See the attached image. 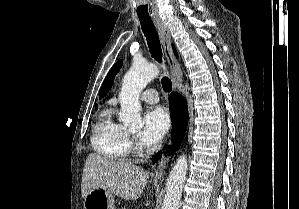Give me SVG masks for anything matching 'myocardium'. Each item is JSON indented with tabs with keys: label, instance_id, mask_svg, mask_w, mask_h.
<instances>
[{
	"label": "myocardium",
	"instance_id": "myocardium-1",
	"mask_svg": "<svg viewBox=\"0 0 299 209\" xmlns=\"http://www.w3.org/2000/svg\"><path fill=\"white\" fill-rule=\"evenodd\" d=\"M132 153L135 156H142L143 155V150L139 145H134L132 148Z\"/></svg>",
	"mask_w": 299,
	"mask_h": 209
}]
</instances>
